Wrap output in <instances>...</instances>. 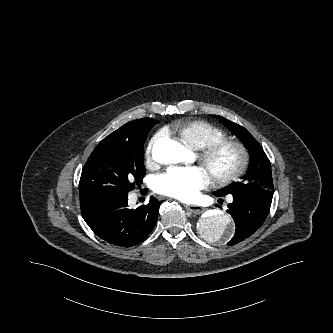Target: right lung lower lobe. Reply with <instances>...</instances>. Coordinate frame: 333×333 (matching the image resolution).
Listing matches in <instances>:
<instances>
[{"label": "right lung lower lobe", "mask_w": 333, "mask_h": 333, "mask_svg": "<svg viewBox=\"0 0 333 333\" xmlns=\"http://www.w3.org/2000/svg\"><path fill=\"white\" fill-rule=\"evenodd\" d=\"M127 195H109L80 200L81 213L91 230L111 244L131 247L153 230L160 201L153 196L147 205L128 208Z\"/></svg>", "instance_id": "right-lung-lower-lobe-1"}]
</instances>
